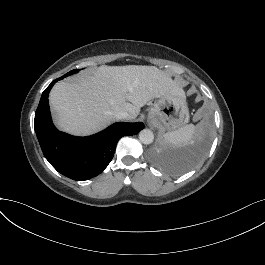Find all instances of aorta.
Returning <instances> with one entry per match:
<instances>
[{
	"label": "aorta",
	"instance_id": "aorta-1",
	"mask_svg": "<svg viewBox=\"0 0 265 265\" xmlns=\"http://www.w3.org/2000/svg\"><path fill=\"white\" fill-rule=\"evenodd\" d=\"M139 139L143 144H151L154 140V134L150 129H143L139 133Z\"/></svg>",
	"mask_w": 265,
	"mask_h": 265
}]
</instances>
